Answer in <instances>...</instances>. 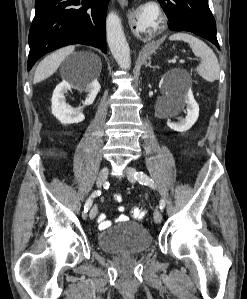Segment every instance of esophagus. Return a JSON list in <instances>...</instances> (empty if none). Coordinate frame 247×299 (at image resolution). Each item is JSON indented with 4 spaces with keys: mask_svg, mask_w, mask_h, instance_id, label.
Here are the masks:
<instances>
[{
    "mask_svg": "<svg viewBox=\"0 0 247 299\" xmlns=\"http://www.w3.org/2000/svg\"><path fill=\"white\" fill-rule=\"evenodd\" d=\"M119 2L122 3V4H126L127 3L126 0H119Z\"/></svg>",
    "mask_w": 247,
    "mask_h": 299,
    "instance_id": "esophagus-1",
    "label": "esophagus"
}]
</instances>
